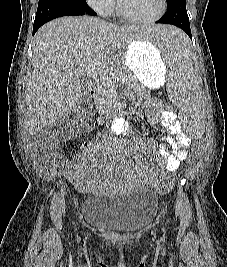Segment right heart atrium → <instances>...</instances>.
<instances>
[{
    "instance_id": "right-heart-atrium-1",
    "label": "right heart atrium",
    "mask_w": 227,
    "mask_h": 267,
    "mask_svg": "<svg viewBox=\"0 0 227 267\" xmlns=\"http://www.w3.org/2000/svg\"><path fill=\"white\" fill-rule=\"evenodd\" d=\"M86 3L102 16H109L116 5V0H85Z\"/></svg>"
}]
</instances>
